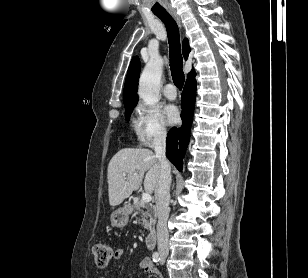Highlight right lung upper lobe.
<instances>
[{
	"instance_id": "right-lung-upper-lobe-1",
	"label": "right lung upper lobe",
	"mask_w": 308,
	"mask_h": 278,
	"mask_svg": "<svg viewBox=\"0 0 308 278\" xmlns=\"http://www.w3.org/2000/svg\"><path fill=\"white\" fill-rule=\"evenodd\" d=\"M189 52H190L189 42L188 40H184L183 55L185 59L188 58ZM139 74H140V61L139 58L135 56L130 63L125 81L124 95H123V101L125 106L136 105L138 102L136 89L138 86ZM193 76H195L194 70L188 74L187 79Z\"/></svg>"
}]
</instances>
